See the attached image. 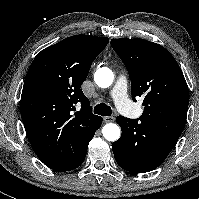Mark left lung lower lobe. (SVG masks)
Wrapping results in <instances>:
<instances>
[{"label": "left lung lower lobe", "mask_w": 199, "mask_h": 199, "mask_svg": "<svg viewBox=\"0 0 199 199\" xmlns=\"http://www.w3.org/2000/svg\"><path fill=\"white\" fill-rule=\"evenodd\" d=\"M121 137L112 143L117 164L132 173L157 168L169 155L180 136L140 119L116 118Z\"/></svg>", "instance_id": "obj_1"}]
</instances>
